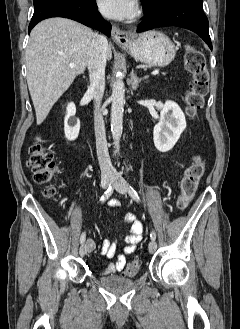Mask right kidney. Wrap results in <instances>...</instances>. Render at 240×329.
<instances>
[{
	"mask_svg": "<svg viewBox=\"0 0 240 329\" xmlns=\"http://www.w3.org/2000/svg\"><path fill=\"white\" fill-rule=\"evenodd\" d=\"M76 107L74 103H69L67 106V114L64 120L65 137L73 141L77 139L80 131V121L75 118Z\"/></svg>",
	"mask_w": 240,
	"mask_h": 329,
	"instance_id": "1",
	"label": "right kidney"
}]
</instances>
